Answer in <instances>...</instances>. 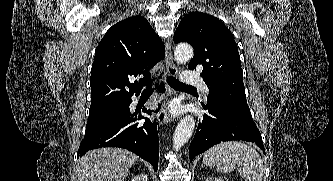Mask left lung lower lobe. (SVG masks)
<instances>
[{"mask_svg":"<svg viewBox=\"0 0 333 181\" xmlns=\"http://www.w3.org/2000/svg\"><path fill=\"white\" fill-rule=\"evenodd\" d=\"M201 104L207 114L203 116L191 141L190 161L211 146L230 140L253 142L265 153L261 133L250 111L228 107L213 99H207V104Z\"/></svg>","mask_w":333,"mask_h":181,"instance_id":"1","label":"left lung lower lobe"}]
</instances>
